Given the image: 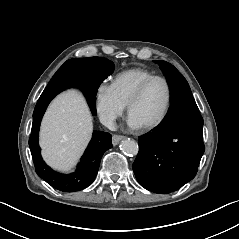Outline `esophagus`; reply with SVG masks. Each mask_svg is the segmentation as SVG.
<instances>
[{
  "mask_svg": "<svg viewBox=\"0 0 239 239\" xmlns=\"http://www.w3.org/2000/svg\"><path fill=\"white\" fill-rule=\"evenodd\" d=\"M125 139V136L123 135H113L112 137V144L114 146L118 145V143L122 140Z\"/></svg>",
  "mask_w": 239,
  "mask_h": 239,
  "instance_id": "34e87169",
  "label": "esophagus"
}]
</instances>
